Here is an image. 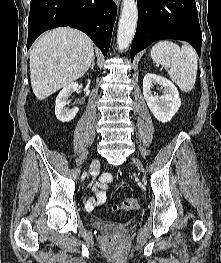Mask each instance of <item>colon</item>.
<instances>
[{
  "mask_svg": "<svg viewBox=\"0 0 221 263\" xmlns=\"http://www.w3.org/2000/svg\"><path fill=\"white\" fill-rule=\"evenodd\" d=\"M139 207V202L136 198H125L119 204L111 207L112 212H131Z\"/></svg>",
  "mask_w": 221,
  "mask_h": 263,
  "instance_id": "obj_1",
  "label": "colon"
}]
</instances>
